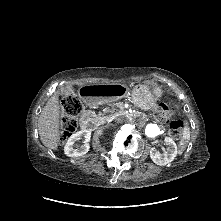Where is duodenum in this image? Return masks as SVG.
Wrapping results in <instances>:
<instances>
[{
  "mask_svg": "<svg viewBox=\"0 0 221 221\" xmlns=\"http://www.w3.org/2000/svg\"><path fill=\"white\" fill-rule=\"evenodd\" d=\"M124 94V88L119 85H110L105 87H100L98 85L85 86L81 90V97L89 105H96L98 103L113 101L117 96ZM129 117L134 121H139L141 119V114L131 113ZM93 125V120L87 116L83 115L80 118V127L83 131H90Z\"/></svg>",
  "mask_w": 221,
  "mask_h": 221,
  "instance_id": "obj_1",
  "label": "duodenum"
}]
</instances>
